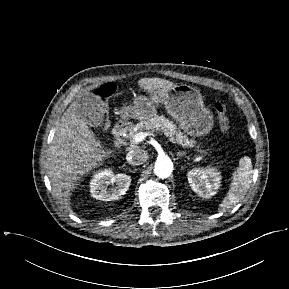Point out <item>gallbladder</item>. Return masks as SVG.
I'll list each match as a JSON object with an SVG mask.
<instances>
[{
	"label": "gallbladder",
	"instance_id": "obj_1",
	"mask_svg": "<svg viewBox=\"0 0 289 289\" xmlns=\"http://www.w3.org/2000/svg\"><path fill=\"white\" fill-rule=\"evenodd\" d=\"M77 109L88 125L94 128L101 127L103 124V109L99 101L92 93H86L77 99Z\"/></svg>",
	"mask_w": 289,
	"mask_h": 289
}]
</instances>
